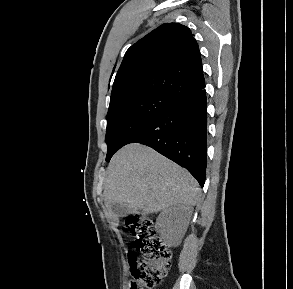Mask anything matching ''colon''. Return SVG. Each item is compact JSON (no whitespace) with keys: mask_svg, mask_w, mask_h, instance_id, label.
<instances>
[{"mask_svg":"<svg viewBox=\"0 0 293 289\" xmlns=\"http://www.w3.org/2000/svg\"><path fill=\"white\" fill-rule=\"evenodd\" d=\"M125 230L134 238L135 248L142 255V258L129 255L132 274L130 289H156L170 267L171 251L157 237L150 218L128 217Z\"/></svg>","mask_w":293,"mask_h":289,"instance_id":"5ec220e1","label":"colon"}]
</instances>
